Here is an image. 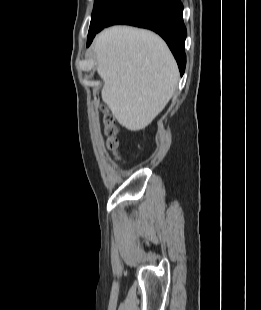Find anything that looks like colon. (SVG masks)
<instances>
[{
    "label": "colon",
    "mask_w": 261,
    "mask_h": 310,
    "mask_svg": "<svg viewBox=\"0 0 261 310\" xmlns=\"http://www.w3.org/2000/svg\"><path fill=\"white\" fill-rule=\"evenodd\" d=\"M105 133L107 136V146L110 150L115 151L118 146L117 127L114 119L110 115L104 117Z\"/></svg>",
    "instance_id": "colon-1"
}]
</instances>
